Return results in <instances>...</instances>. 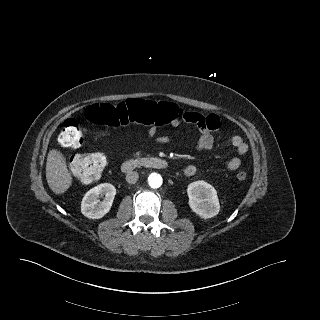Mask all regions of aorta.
Segmentation results:
<instances>
[{
	"label": "aorta",
	"instance_id": "762f6f07",
	"mask_svg": "<svg viewBox=\"0 0 320 320\" xmlns=\"http://www.w3.org/2000/svg\"><path fill=\"white\" fill-rule=\"evenodd\" d=\"M162 182H163V179L160 174L151 173L148 177V184L153 189L161 187Z\"/></svg>",
	"mask_w": 320,
	"mask_h": 320
}]
</instances>
